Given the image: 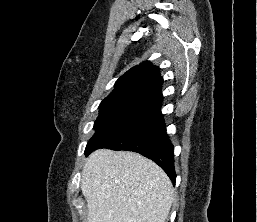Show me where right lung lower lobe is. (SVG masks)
Segmentation results:
<instances>
[{"label":"right lung lower lobe","mask_w":257,"mask_h":222,"mask_svg":"<svg viewBox=\"0 0 257 222\" xmlns=\"http://www.w3.org/2000/svg\"><path fill=\"white\" fill-rule=\"evenodd\" d=\"M99 148L140 153L156 162L166 172L172 183L175 184L173 145L166 133L161 111L110 142L87 151L86 155Z\"/></svg>","instance_id":"1"}]
</instances>
